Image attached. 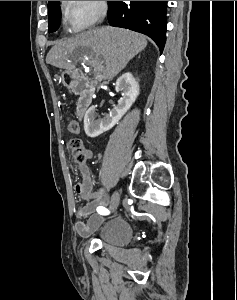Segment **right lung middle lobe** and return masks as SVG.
<instances>
[{
  "mask_svg": "<svg viewBox=\"0 0 237 300\" xmlns=\"http://www.w3.org/2000/svg\"><path fill=\"white\" fill-rule=\"evenodd\" d=\"M60 1L48 2V32L56 31L60 26L61 8L59 7Z\"/></svg>",
  "mask_w": 237,
  "mask_h": 300,
  "instance_id": "1",
  "label": "right lung middle lobe"
}]
</instances>
